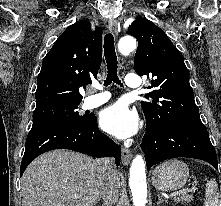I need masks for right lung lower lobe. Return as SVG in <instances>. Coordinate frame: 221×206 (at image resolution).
Wrapping results in <instances>:
<instances>
[{"mask_svg": "<svg viewBox=\"0 0 221 206\" xmlns=\"http://www.w3.org/2000/svg\"><path fill=\"white\" fill-rule=\"evenodd\" d=\"M54 149H70L94 157H114L120 164L121 149L101 133L93 115L84 123H55L34 127L27 136L20 176L40 154Z\"/></svg>", "mask_w": 221, "mask_h": 206, "instance_id": "right-lung-lower-lobe-1", "label": "right lung lower lobe"}]
</instances>
